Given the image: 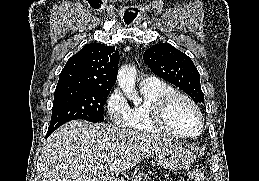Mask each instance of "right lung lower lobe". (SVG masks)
<instances>
[{"instance_id":"98d812e1","label":"right lung lower lobe","mask_w":259,"mask_h":181,"mask_svg":"<svg viewBox=\"0 0 259 181\" xmlns=\"http://www.w3.org/2000/svg\"><path fill=\"white\" fill-rule=\"evenodd\" d=\"M50 134H51V133H47V136H46V137H48Z\"/></svg>"}]
</instances>
